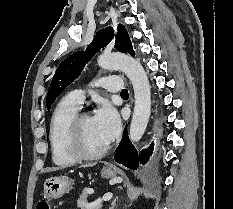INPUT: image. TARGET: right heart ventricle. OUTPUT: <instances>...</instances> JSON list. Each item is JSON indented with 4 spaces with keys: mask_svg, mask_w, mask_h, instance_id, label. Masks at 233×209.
Here are the masks:
<instances>
[{
    "mask_svg": "<svg viewBox=\"0 0 233 209\" xmlns=\"http://www.w3.org/2000/svg\"><path fill=\"white\" fill-rule=\"evenodd\" d=\"M78 107L67 98L56 106L50 121L49 144L53 163L59 167H68L77 163L67 150L66 132L71 120L77 115Z\"/></svg>",
    "mask_w": 233,
    "mask_h": 209,
    "instance_id": "1",
    "label": "right heart ventricle"
}]
</instances>
